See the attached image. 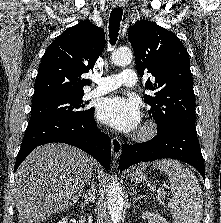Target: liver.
I'll use <instances>...</instances> for the list:
<instances>
[{
    "mask_svg": "<svg viewBox=\"0 0 221 223\" xmlns=\"http://www.w3.org/2000/svg\"><path fill=\"white\" fill-rule=\"evenodd\" d=\"M93 165L91 156L70 145L51 143L34 149L15 174L18 223H41L75 204Z\"/></svg>",
    "mask_w": 221,
    "mask_h": 223,
    "instance_id": "1",
    "label": "liver"
}]
</instances>
